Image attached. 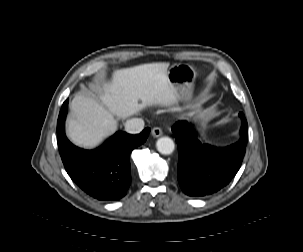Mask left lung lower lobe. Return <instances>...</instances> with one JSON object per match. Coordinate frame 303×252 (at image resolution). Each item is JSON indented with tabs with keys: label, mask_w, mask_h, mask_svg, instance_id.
<instances>
[{
	"label": "left lung lower lobe",
	"mask_w": 303,
	"mask_h": 252,
	"mask_svg": "<svg viewBox=\"0 0 303 252\" xmlns=\"http://www.w3.org/2000/svg\"><path fill=\"white\" fill-rule=\"evenodd\" d=\"M240 139L225 148L202 143L194 125L178 121L172 127L178 146L177 178L189 196H205L226 186L238 172L248 141V124L243 114Z\"/></svg>",
	"instance_id": "1"
}]
</instances>
